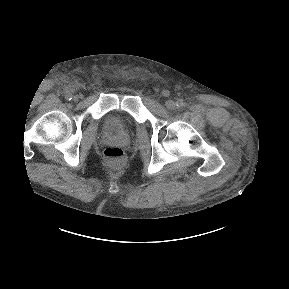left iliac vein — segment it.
I'll use <instances>...</instances> for the list:
<instances>
[{"label": "left iliac vein", "instance_id": "left-iliac-vein-1", "mask_svg": "<svg viewBox=\"0 0 289 289\" xmlns=\"http://www.w3.org/2000/svg\"><path fill=\"white\" fill-rule=\"evenodd\" d=\"M165 106L168 109L172 110V109L175 108V102L173 100H167L166 103H165Z\"/></svg>", "mask_w": 289, "mask_h": 289}]
</instances>
